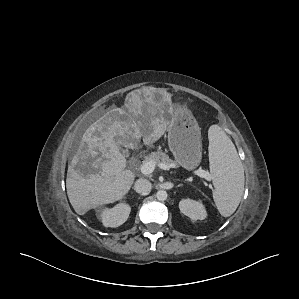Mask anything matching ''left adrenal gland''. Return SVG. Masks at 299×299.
Instances as JSON below:
<instances>
[{"label":"left adrenal gland","instance_id":"a2214340","mask_svg":"<svg viewBox=\"0 0 299 299\" xmlns=\"http://www.w3.org/2000/svg\"><path fill=\"white\" fill-rule=\"evenodd\" d=\"M180 186H182V184H179L177 187H180Z\"/></svg>","mask_w":299,"mask_h":299}]
</instances>
